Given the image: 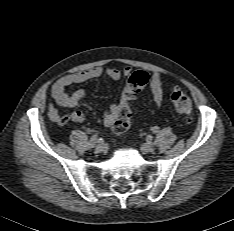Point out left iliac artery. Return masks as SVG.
I'll use <instances>...</instances> for the list:
<instances>
[{
	"label": "left iliac artery",
	"instance_id": "44dca946",
	"mask_svg": "<svg viewBox=\"0 0 234 231\" xmlns=\"http://www.w3.org/2000/svg\"><path fill=\"white\" fill-rule=\"evenodd\" d=\"M152 131H153V133H158L159 132V127L158 126H154L152 128Z\"/></svg>",
	"mask_w": 234,
	"mask_h": 231
}]
</instances>
